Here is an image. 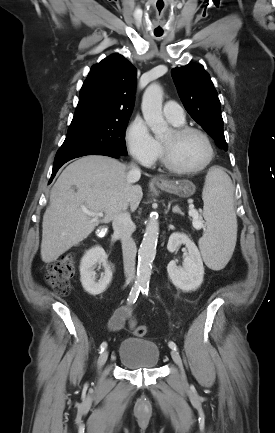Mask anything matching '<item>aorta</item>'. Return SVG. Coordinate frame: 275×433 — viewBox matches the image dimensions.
Listing matches in <instances>:
<instances>
[{"label": "aorta", "mask_w": 275, "mask_h": 433, "mask_svg": "<svg viewBox=\"0 0 275 433\" xmlns=\"http://www.w3.org/2000/svg\"><path fill=\"white\" fill-rule=\"evenodd\" d=\"M163 90L157 83L150 84L142 98L141 109L146 124L156 137H161L168 129L162 115ZM159 237V222L156 215H150L146 230L138 250L137 284L146 288L149 285L152 263L156 255Z\"/></svg>", "instance_id": "aorta-1"}]
</instances>
